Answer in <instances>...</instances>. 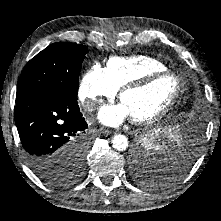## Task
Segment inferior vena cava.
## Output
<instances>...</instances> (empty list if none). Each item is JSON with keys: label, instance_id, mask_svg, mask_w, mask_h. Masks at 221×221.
I'll return each instance as SVG.
<instances>
[{"label": "inferior vena cava", "instance_id": "obj_1", "mask_svg": "<svg viewBox=\"0 0 221 221\" xmlns=\"http://www.w3.org/2000/svg\"><path fill=\"white\" fill-rule=\"evenodd\" d=\"M100 104L101 103L98 100H87L84 103L83 108L87 112H93L100 106Z\"/></svg>", "mask_w": 221, "mask_h": 221}]
</instances>
